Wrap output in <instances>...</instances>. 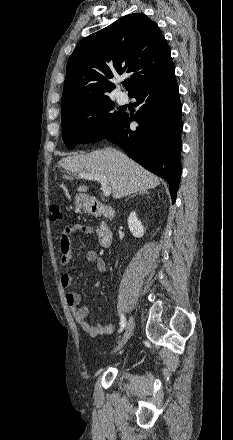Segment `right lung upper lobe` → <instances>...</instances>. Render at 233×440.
<instances>
[{
  "label": "right lung upper lobe",
  "mask_w": 233,
  "mask_h": 440,
  "mask_svg": "<svg viewBox=\"0 0 233 440\" xmlns=\"http://www.w3.org/2000/svg\"><path fill=\"white\" fill-rule=\"evenodd\" d=\"M168 44L157 24L142 13L124 16L82 39L69 57L61 109L108 97L109 80L129 74L131 95L173 67Z\"/></svg>",
  "instance_id": "1"
}]
</instances>
